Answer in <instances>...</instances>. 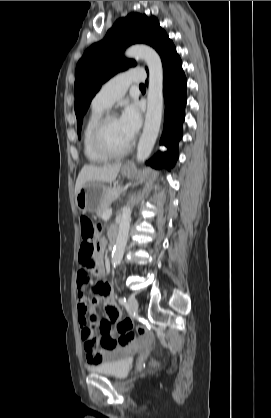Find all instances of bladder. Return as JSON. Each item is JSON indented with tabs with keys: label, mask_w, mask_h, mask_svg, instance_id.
<instances>
[{
	"label": "bladder",
	"mask_w": 271,
	"mask_h": 418,
	"mask_svg": "<svg viewBox=\"0 0 271 418\" xmlns=\"http://www.w3.org/2000/svg\"><path fill=\"white\" fill-rule=\"evenodd\" d=\"M132 366V357L129 351L123 352L117 357L99 363L90 368L94 373L110 377L112 379L124 378Z\"/></svg>",
	"instance_id": "bladder-1"
}]
</instances>
